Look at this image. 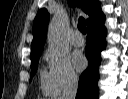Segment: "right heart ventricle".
I'll list each match as a JSON object with an SVG mask.
<instances>
[{
  "label": "right heart ventricle",
  "mask_w": 128,
  "mask_h": 99,
  "mask_svg": "<svg viewBox=\"0 0 128 99\" xmlns=\"http://www.w3.org/2000/svg\"><path fill=\"white\" fill-rule=\"evenodd\" d=\"M40 82H41V88L44 94L52 96L57 93L48 72L43 71L41 73Z\"/></svg>",
  "instance_id": "right-heart-ventricle-1"
}]
</instances>
